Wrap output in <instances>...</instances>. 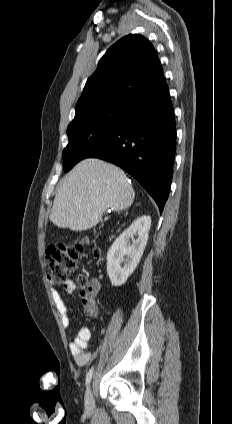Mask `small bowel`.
I'll use <instances>...</instances> for the list:
<instances>
[{
    "mask_svg": "<svg viewBox=\"0 0 232 424\" xmlns=\"http://www.w3.org/2000/svg\"><path fill=\"white\" fill-rule=\"evenodd\" d=\"M77 288L76 283L72 279H68L63 283V291L65 294H71ZM100 290V282L95 280L92 282V295H97ZM52 298L54 305L60 315L62 325L65 328L71 326V317L68 313V308L65 303L63 294L57 289H52ZM98 317V312L95 313ZM91 339V330L88 327H81L74 340L70 343L69 348L78 365H86L91 355L87 351L88 343Z\"/></svg>",
    "mask_w": 232,
    "mask_h": 424,
    "instance_id": "small-bowel-1",
    "label": "small bowel"
}]
</instances>
